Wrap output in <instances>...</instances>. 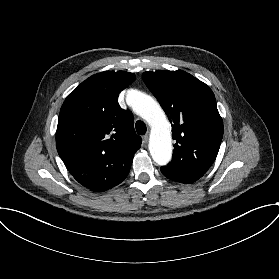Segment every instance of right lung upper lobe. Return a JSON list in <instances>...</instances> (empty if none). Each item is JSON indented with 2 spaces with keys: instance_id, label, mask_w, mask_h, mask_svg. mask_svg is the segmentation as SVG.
<instances>
[{
  "instance_id": "cb5924a9",
  "label": "right lung upper lobe",
  "mask_w": 279,
  "mask_h": 279,
  "mask_svg": "<svg viewBox=\"0 0 279 279\" xmlns=\"http://www.w3.org/2000/svg\"><path fill=\"white\" fill-rule=\"evenodd\" d=\"M135 75L105 71L89 77L65 99L58 118L56 147L71 175L92 191H106L128 175L141 138L131 112L118 95Z\"/></svg>"
}]
</instances>
